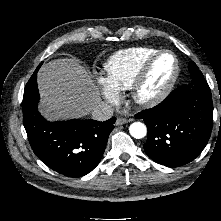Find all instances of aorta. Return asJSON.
Masks as SVG:
<instances>
[{"instance_id": "aorta-1", "label": "aorta", "mask_w": 221, "mask_h": 221, "mask_svg": "<svg viewBox=\"0 0 221 221\" xmlns=\"http://www.w3.org/2000/svg\"><path fill=\"white\" fill-rule=\"evenodd\" d=\"M129 132L132 137H134L136 139H141L146 136L147 128L141 122H134L130 125Z\"/></svg>"}]
</instances>
